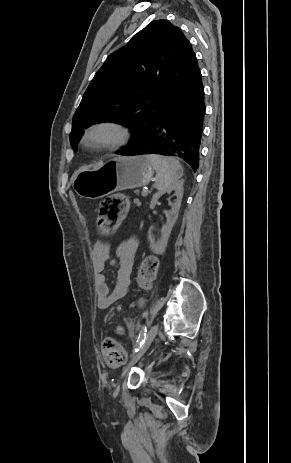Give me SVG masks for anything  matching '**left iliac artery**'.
<instances>
[{"mask_svg": "<svg viewBox=\"0 0 291 463\" xmlns=\"http://www.w3.org/2000/svg\"><path fill=\"white\" fill-rule=\"evenodd\" d=\"M146 333H147V328L146 326H144L139 334V337H138V340H137V343L134 347V353L135 352H138L139 351V348L142 346V344L144 343L145 341V338H146Z\"/></svg>", "mask_w": 291, "mask_h": 463, "instance_id": "44dca946", "label": "left iliac artery"}]
</instances>
